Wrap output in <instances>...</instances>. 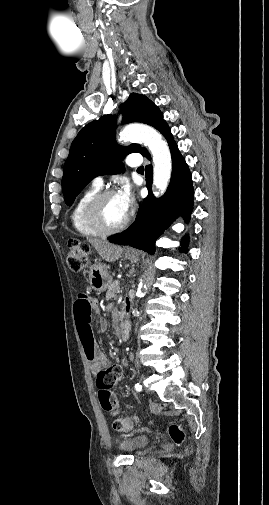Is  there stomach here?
<instances>
[{
    "label": "stomach",
    "mask_w": 269,
    "mask_h": 505,
    "mask_svg": "<svg viewBox=\"0 0 269 505\" xmlns=\"http://www.w3.org/2000/svg\"><path fill=\"white\" fill-rule=\"evenodd\" d=\"M125 258L131 262L139 261L138 253H126ZM109 266L103 263H96L90 266L89 284L90 287L98 292H104L112 283V277L109 275Z\"/></svg>",
    "instance_id": "obj_1"
}]
</instances>
